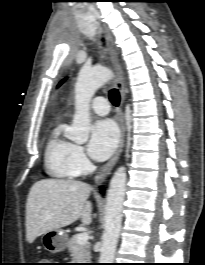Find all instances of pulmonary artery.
<instances>
[{
  "label": "pulmonary artery",
  "mask_w": 205,
  "mask_h": 265,
  "mask_svg": "<svg viewBox=\"0 0 205 265\" xmlns=\"http://www.w3.org/2000/svg\"><path fill=\"white\" fill-rule=\"evenodd\" d=\"M91 109L99 115H106L109 112L108 101L104 97H97L92 101Z\"/></svg>",
  "instance_id": "1"
}]
</instances>
